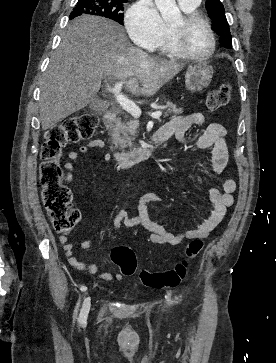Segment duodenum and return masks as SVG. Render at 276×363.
<instances>
[{"instance_id": "obj_1", "label": "duodenum", "mask_w": 276, "mask_h": 363, "mask_svg": "<svg viewBox=\"0 0 276 363\" xmlns=\"http://www.w3.org/2000/svg\"><path fill=\"white\" fill-rule=\"evenodd\" d=\"M117 116L115 109H108L104 113V121L106 123L113 121ZM167 140V136L164 133L156 132L151 141L143 148L132 150V151H114L113 159L121 166H132L137 162L148 159L156 149V147Z\"/></svg>"}]
</instances>
